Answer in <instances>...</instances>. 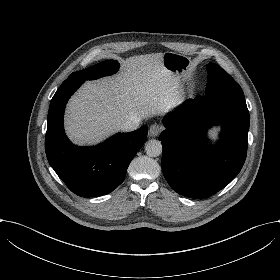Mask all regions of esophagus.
I'll list each match as a JSON object with an SVG mask.
<instances>
[{"instance_id": "obj_1", "label": "esophagus", "mask_w": 280, "mask_h": 280, "mask_svg": "<svg viewBox=\"0 0 280 280\" xmlns=\"http://www.w3.org/2000/svg\"><path fill=\"white\" fill-rule=\"evenodd\" d=\"M163 130V127L157 123L151 125L149 130V136L150 137H156L161 131Z\"/></svg>"}]
</instances>
